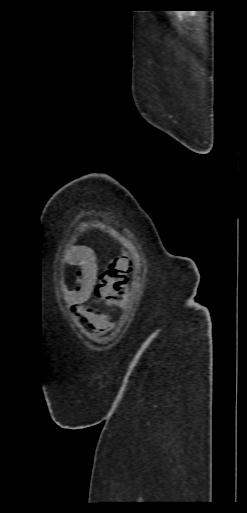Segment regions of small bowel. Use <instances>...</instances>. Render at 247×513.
<instances>
[{
  "mask_svg": "<svg viewBox=\"0 0 247 513\" xmlns=\"http://www.w3.org/2000/svg\"><path fill=\"white\" fill-rule=\"evenodd\" d=\"M64 262L75 268L74 285L70 286L63 278L60 281V291L63 299L78 317L94 326L103 333L111 330L112 319L106 315L98 314L94 309L86 306L93 294L96 284V262L92 254L78 248H69L65 251Z\"/></svg>",
  "mask_w": 247,
  "mask_h": 513,
  "instance_id": "c3829d8e",
  "label": "small bowel"
}]
</instances>
